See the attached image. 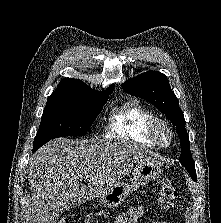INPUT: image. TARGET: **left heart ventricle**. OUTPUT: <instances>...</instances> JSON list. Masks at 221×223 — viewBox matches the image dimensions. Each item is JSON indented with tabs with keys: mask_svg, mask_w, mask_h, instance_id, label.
<instances>
[{
	"mask_svg": "<svg viewBox=\"0 0 221 223\" xmlns=\"http://www.w3.org/2000/svg\"><path fill=\"white\" fill-rule=\"evenodd\" d=\"M161 138H162L163 140H168V134H167V132L162 131V132H161Z\"/></svg>",
	"mask_w": 221,
	"mask_h": 223,
	"instance_id": "b2bd125f",
	"label": "left heart ventricle"
}]
</instances>
